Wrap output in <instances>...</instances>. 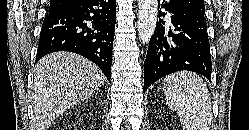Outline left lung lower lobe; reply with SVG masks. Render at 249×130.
<instances>
[{
    "mask_svg": "<svg viewBox=\"0 0 249 130\" xmlns=\"http://www.w3.org/2000/svg\"><path fill=\"white\" fill-rule=\"evenodd\" d=\"M161 8L171 13L170 25L160 18L166 15ZM161 8L144 62V92L160 78L181 70L200 73L210 80L212 62L205 15L179 0H170Z\"/></svg>",
    "mask_w": 249,
    "mask_h": 130,
    "instance_id": "0a47b994",
    "label": "left lung lower lobe"
}]
</instances>
